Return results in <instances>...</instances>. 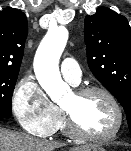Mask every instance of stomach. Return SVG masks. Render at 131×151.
<instances>
[{
	"instance_id": "obj_1",
	"label": "stomach",
	"mask_w": 131,
	"mask_h": 151,
	"mask_svg": "<svg viewBox=\"0 0 131 151\" xmlns=\"http://www.w3.org/2000/svg\"><path fill=\"white\" fill-rule=\"evenodd\" d=\"M82 151H106V150L100 146H91V147L85 148V150H82Z\"/></svg>"
}]
</instances>
